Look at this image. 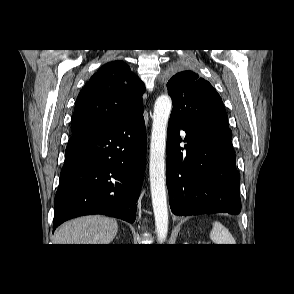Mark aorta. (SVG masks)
<instances>
[{"instance_id": "762f6f07", "label": "aorta", "mask_w": 294, "mask_h": 294, "mask_svg": "<svg viewBox=\"0 0 294 294\" xmlns=\"http://www.w3.org/2000/svg\"><path fill=\"white\" fill-rule=\"evenodd\" d=\"M172 101L168 95L159 96L154 105L150 142V189L159 242L165 241L168 233V208L165 188L166 132Z\"/></svg>"}]
</instances>
